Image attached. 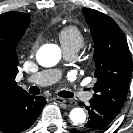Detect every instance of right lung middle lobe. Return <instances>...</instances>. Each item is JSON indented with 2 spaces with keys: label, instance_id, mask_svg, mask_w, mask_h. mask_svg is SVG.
Here are the masks:
<instances>
[{
  "label": "right lung middle lobe",
  "instance_id": "right-lung-middle-lobe-1",
  "mask_svg": "<svg viewBox=\"0 0 133 133\" xmlns=\"http://www.w3.org/2000/svg\"><path fill=\"white\" fill-rule=\"evenodd\" d=\"M14 54V51H10L8 49H5L4 47H0V61H4L7 58H9L11 55Z\"/></svg>",
  "mask_w": 133,
  "mask_h": 133
}]
</instances>
